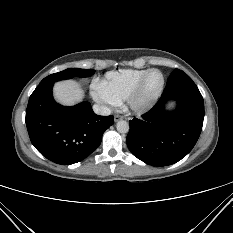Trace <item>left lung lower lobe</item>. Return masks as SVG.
<instances>
[{
	"label": "left lung lower lobe",
	"instance_id": "obj_1",
	"mask_svg": "<svg viewBox=\"0 0 233 233\" xmlns=\"http://www.w3.org/2000/svg\"><path fill=\"white\" fill-rule=\"evenodd\" d=\"M169 100L177 102L167 111ZM203 97L183 71L175 69L159 102L142 119L129 121L127 146L139 160L152 166H167L184 158L196 144L203 126Z\"/></svg>",
	"mask_w": 233,
	"mask_h": 233
}]
</instances>
